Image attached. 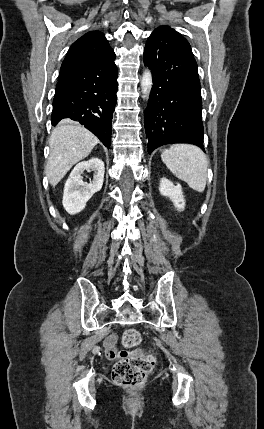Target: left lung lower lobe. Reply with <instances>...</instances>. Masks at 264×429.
I'll use <instances>...</instances> for the list:
<instances>
[{
	"label": "left lung lower lobe",
	"mask_w": 264,
	"mask_h": 429,
	"mask_svg": "<svg viewBox=\"0 0 264 429\" xmlns=\"http://www.w3.org/2000/svg\"><path fill=\"white\" fill-rule=\"evenodd\" d=\"M144 64L153 76L144 125L149 154L172 143H191L203 151L201 86L188 41L171 28L148 37Z\"/></svg>",
	"instance_id": "1"
}]
</instances>
